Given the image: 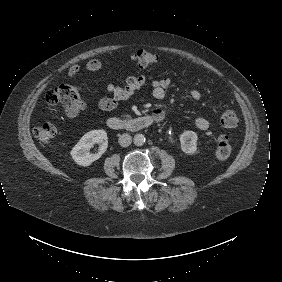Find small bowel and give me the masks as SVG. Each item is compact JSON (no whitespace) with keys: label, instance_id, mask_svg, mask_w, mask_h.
I'll list each match as a JSON object with an SVG mask.
<instances>
[{"label":"small bowel","instance_id":"c3829d8e","mask_svg":"<svg viewBox=\"0 0 282 282\" xmlns=\"http://www.w3.org/2000/svg\"><path fill=\"white\" fill-rule=\"evenodd\" d=\"M102 63L98 59H91L85 65L87 72H95L100 70ZM80 70L78 65H72L68 70L70 77H75ZM149 85L151 88L152 96L161 101L166 97L167 89L171 86V81L168 78L154 79L147 75L128 76L121 83H110L107 86L109 92L108 97L101 98L98 101V107L104 111H111L118 107V105L128 100L133 94L143 86ZM185 95L194 102L201 100V93L196 89H187ZM87 104L79 101L75 105L67 106L66 114L69 117H75L80 112L84 111ZM153 114L161 116V120L165 117V112L162 108H157ZM193 124L200 130H207L210 126L209 121L201 116H196L192 119Z\"/></svg>","mask_w":282,"mask_h":282}]
</instances>
